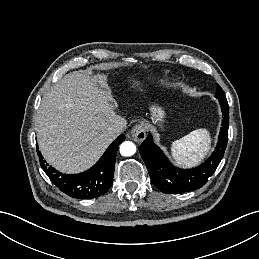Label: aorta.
Here are the masks:
<instances>
[{"instance_id": "762f6f07", "label": "aorta", "mask_w": 259, "mask_h": 259, "mask_svg": "<svg viewBox=\"0 0 259 259\" xmlns=\"http://www.w3.org/2000/svg\"><path fill=\"white\" fill-rule=\"evenodd\" d=\"M136 152V146L131 141H125L120 145V154L122 156H132Z\"/></svg>"}]
</instances>
